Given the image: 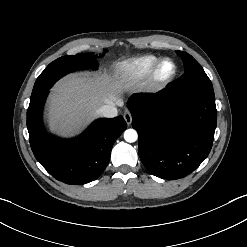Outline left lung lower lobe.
<instances>
[{
    "label": "left lung lower lobe",
    "instance_id": "0a47b994",
    "mask_svg": "<svg viewBox=\"0 0 247 247\" xmlns=\"http://www.w3.org/2000/svg\"><path fill=\"white\" fill-rule=\"evenodd\" d=\"M127 106L140 159L153 175L184 178L208 156L217 120L213 89L170 85L157 96H132Z\"/></svg>",
    "mask_w": 247,
    "mask_h": 247
}]
</instances>
